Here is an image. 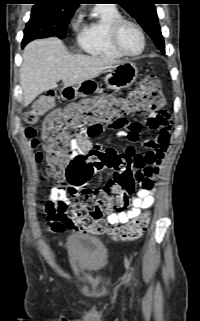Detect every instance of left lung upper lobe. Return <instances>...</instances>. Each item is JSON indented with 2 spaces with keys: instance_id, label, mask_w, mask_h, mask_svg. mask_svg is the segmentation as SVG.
Wrapping results in <instances>:
<instances>
[{
  "instance_id": "5c2ea615",
  "label": "left lung upper lobe",
  "mask_w": 200,
  "mask_h": 321,
  "mask_svg": "<svg viewBox=\"0 0 200 321\" xmlns=\"http://www.w3.org/2000/svg\"><path fill=\"white\" fill-rule=\"evenodd\" d=\"M155 1L156 0H117V3L137 20L153 39L156 46L164 52V40L154 6Z\"/></svg>"
}]
</instances>
